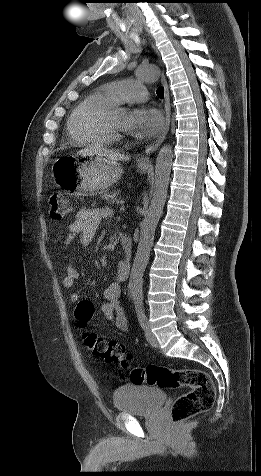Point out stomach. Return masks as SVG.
Returning <instances> with one entry per match:
<instances>
[{
    "instance_id": "0dacf381",
    "label": "stomach",
    "mask_w": 261,
    "mask_h": 476,
    "mask_svg": "<svg viewBox=\"0 0 261 476\" xmlns=\"http://www.w3.org/2000/svg\"><path fill=\"white\" fill-rule=\"evenodd\" d=\"M141 171L146 172L147 168L142 167ZM54 174L56 183H61V189L67 190V195H93L117 183L123 169L107 159L77 154L60 156V164H54Z\"/></svg>"
}]
</instances>
